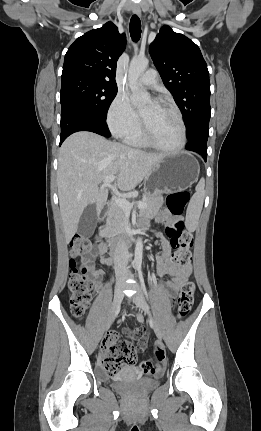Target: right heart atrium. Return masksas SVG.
Returning a JSON list of instances; mask_svg holds the SVG:
<instances>
[{
	"mask_svg": "<svg viewBox=\"0 0 261 431\" xmlns=\"http://www.w3.org/2000/svg\"><path fill=\"white\" fill-rule=\"evenodd\" d=\"M107 123L111 132L118 137H128L140 128V119L125 93H118L112 100Z\"/></svg>",
	"mask_w": 261,
	"mask_h": 431,
	"instance_id": "1",
	"label": "right heart atrium"
}]
</instances>
